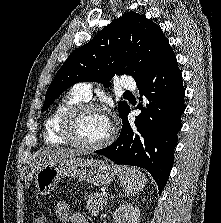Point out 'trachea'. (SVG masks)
Returning <instances> with one entry per match:
<instances>
[{
	"mask_svg": "<svg viewBox=\"0 0 221 223\" xmlns=\"http://www.w3.org/2000/svg\"><path fill=\"white\" fill-rule=\"evenodd\" d=\"M132 93L130 91H125L124 95H131Z\"/></svg>",
	"mask_w": 221,
	"mask_h": 223,
	"instance_id": "1",
	"label": "trachea"
}]
</instances>
